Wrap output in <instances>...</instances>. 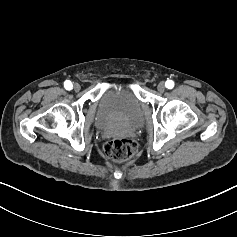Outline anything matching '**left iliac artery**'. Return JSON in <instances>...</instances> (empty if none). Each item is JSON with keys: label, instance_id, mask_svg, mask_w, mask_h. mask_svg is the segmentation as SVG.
<instances>
[{"label": "left iliac artery", "instance_id": "1", "mask_svg": "<svg viewBox=\"0 0 237 237\" xmlns=\"http://www.w3.org/2000/svg\"><path fill=\"white\" fill-rule=\"evenodd\" d=\"M165 86H166V88H168V89H172V88L174 87V82H173L172 80H167V81L165 82Z\"/></svg>", "mask_w": 237, "mask_h": 237}]
</instances>
